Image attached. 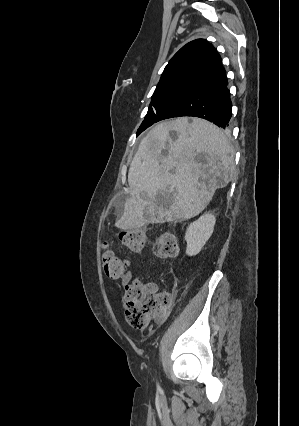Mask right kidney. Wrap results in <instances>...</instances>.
<instances>
[{
  "label": "right kidney",
  "instance_id": "obj_1",
  "mask_svg": "<svg viewBox=\"0 0 299 426\" xmlns=\"http://www.w3.org/2000/svg\"><path fill=\"white\" fill-rule=\"evenodd\" d=\"M215 223L216 217L207 213L188 226L185 233L186 254L188 256H195L201 251L211 237Z\"/></svg>",
  "mask_w": 299,
  "mask_h": 426
}]
</instances>
